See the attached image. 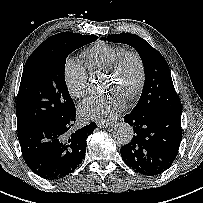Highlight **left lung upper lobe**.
I'll return each instance as SVG.
<instances>
[{"label": "left lung upper lobe", "mask_w": 203, "mask_h": 203, "mask_svg": "<svg viewBox=\"0 0 203 203\" xmlns=\"http://www.w3.org/2000/svg\"><path fill=\"white\" fill-rule=\"evenodd\" d=\"M102 39L128 44L137 50L142 59L145 83L141 97L131 112L145 116L182 112V105L175 91L169 66L159 51L135 34H113Z\"/></svg>", "instance_id": "obj_1"}]
</instances>
